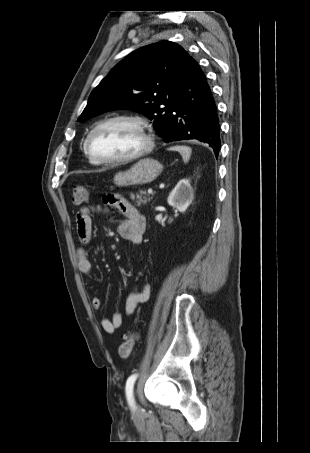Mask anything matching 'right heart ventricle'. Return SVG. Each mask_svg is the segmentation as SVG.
Instances as JSON below:
<instances>
[{
	"mask_svg": "<svg viewBox=\"0 0 310 453\" xmlns=\"http://www.w3.org/2000/svg\"><path fill=\"white\" fill-rule=\"evenodd\" d=\"M84 152L86 153L85 147H84ZM86 154H87V153H86ZM87 158H88L90 164H92V165H94V166H98V165H99V163L93 161L88 155H87Z\"/></svg>",
	"mask_w": 310,
	"mask_h": 453,
	"instance_id": "e07e8e85",
	"label": "right heart ventricle"
}]
</instances>
